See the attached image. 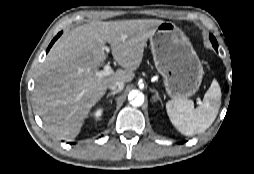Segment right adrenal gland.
I'll list each match as a JSON object with an SVG mask.
<instances>
[{"instance_id": "2a0ac1e0", "label": "right adrenal gland", "mask_w": 254, "mask_h": 174, "mask_svg": "<svg viewBox=\"0 0 254 174\" xmlns=\"http://www.w3.org/2000/svg\"><path fill=\"white\" fill-rule=\"evenodd\" d=\"M118 92H110V93H108L107 94V96H106V98L108 99L109 97H114L115 96V94H117ZM110 103L112 104V100L110 101Z\"/></svg>"}]
</instances>
